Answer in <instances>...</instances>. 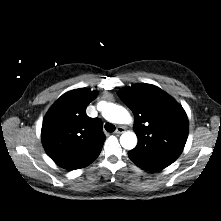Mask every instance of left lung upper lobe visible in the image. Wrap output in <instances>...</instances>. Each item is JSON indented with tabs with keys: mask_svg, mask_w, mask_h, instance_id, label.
Instances as JSON below:
<instances>
[{
	"mask_svg": "<svg viewBox=\"0 0 221 221\" xmlns=\"http://www.w3.org/2000/svg\"><path fill=\"white\" fill-rule=\"evenodd\" d=\"M135 116L138 138L134 153L169 155L182 153L188 137L187 115L172 97L151 84H136L118 92Z\"/></svg>",
	"mask_w": 221,
	"mask_h": 221,
	"instance_id": "obj_1",
	"label": "left lung upper lobe"
}]
</instances>
